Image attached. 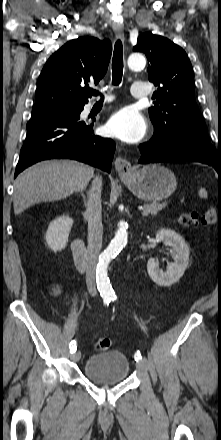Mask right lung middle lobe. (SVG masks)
Instances as JSON below:
<instances>
[{
  "label": "right lung middle lobe",
  "instance_id": "right-lung-middle-lobe-1",
  "mask_svg": "<svg viewBox=\"0 0 221 440\" xmlns=\"http://www.w3.org/2000/svg\"><path fill=\"white\" fill-rule=\"evenodd\" d=\"M83 107H65V108H53V109H47V110H36L32 111V116L44 114V113H51V112H71V111H78L82 109Z\"/></svg>",
  "mask_w": 221,
  "mask_h": 440
}]
</instances>
